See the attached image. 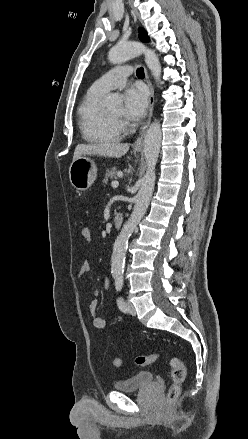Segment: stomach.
<instances>
[{
    "instance_id": "1",
    "label": "stomach",
    "mask_w": 248,
    "mask_h": 439,
    "mask_svg": "<svg viewBox=\"0 0 248 439\" xmlns=\"http://www.w3.org/2000/svg\"><path fill=\"white\" fill-rule=\"evenodd\" d=\"M96 177L97 167L91 158L82 155L72 161L69 167V179L75 189L87 190L94 183Z\"/></svg>"
}]
</instances>
